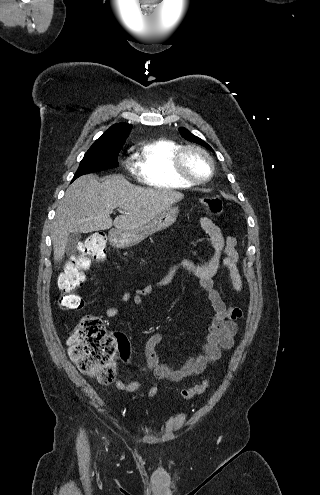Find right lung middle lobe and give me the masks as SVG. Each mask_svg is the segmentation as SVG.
<instances>
[{
    "label": "right lung middle lobe",
    "instance_id": "1",
    "mask_svg": "<svg viewBox=\"0 0 320 495\" xmlns=\"http://www.w3.org/2000/svg\"><path fill=\"white\" fill-rule=\"evenodd\" d=\"M122 146H91L80 162L72 181L79 176L118 167V154Z\"/></svg>",
    "mask_w": 320,
    "mask_h": 495
}]
</instances>
